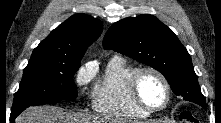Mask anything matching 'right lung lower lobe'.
Returning <instances> with one entry per match:
<instances>
[{
	"mask_svg": "<svg viewBox=\"0 0 221 123\" xmlns=\"http://www.w3.org/2000/svg\"><path fill=\"white\" fill-rule=\"evenodd\" d=\"M20 113H11V120H14Z\"/></svg>",
	"mask_w": 221,
	"mask_h": 123,
	"instance_id": "98d812e1",
	"label": "right lung lower lobe"
}]
</instances>
